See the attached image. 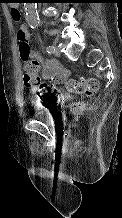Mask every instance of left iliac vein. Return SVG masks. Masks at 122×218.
<instances>
[{"label": "left iliac vein", "mask_w": 122, "mask_h": 218, "mask_svg": "<svg viewBox=\"0 0 122 218\" xmlns=\"http://www.w3.org/2000/svg\"><path fill=\"white\" fill-rule=\"evenodd\" d=\"M53 54L57 57L60 56V51L56 48V46H53Z\"/></svg>", "instance_id": "obj_1"}]
</instances>
